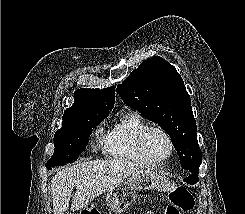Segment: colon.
<instances>
[{
    "mask_svg": "<svg viewBox=\"0 0 245 214\" xmlns=\"http://www.w3.org/2000/svg\"><path fill=\"white\" fill-rule=\"evenodd\" d=\"M168 203L165 214H183L192 210L194 200L189 191L183 187H178L171 191L167 197ZM146 214H153L147 212Z\"/></svg>",
    "mask_w": 245,
    "mask_h": 214,
    "instance_id": "5ec220e1",
    "label": "colon"
}]
</instances>
